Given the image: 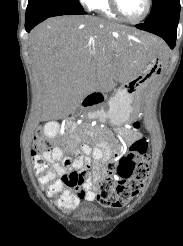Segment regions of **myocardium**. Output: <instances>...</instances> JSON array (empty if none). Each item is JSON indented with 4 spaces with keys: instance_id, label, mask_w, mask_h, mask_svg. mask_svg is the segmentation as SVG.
<instances>
[{
    "instance_id": "f54148a6",
    "label": "myocardium",
    "mask_w": 183,
    "mask_h": 246,
    "mask_svg": "<svg viewBox=\"0 0 183 246\" xmlns=\"http://www.w3.org/2000/svg\"><path fill=\"white\" fill-rule=\"evenodd\" d=\"M146 1V7L145 10L143 12V14L135 19L132 18H128L127 16L124 15V13L122 12L121 8H120V2L119 0H109L110 2V6L112 8V10L114 11V13L123 21L128 22V23H139L141 21H143L148 14L151 11V7H152V0H145Z\"/></svg>"
}]
</instances>
